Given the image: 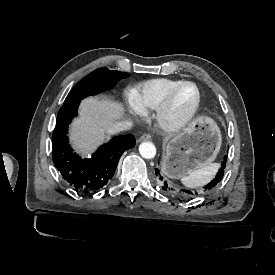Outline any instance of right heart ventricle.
<instances>
[{
	"label": "right heart ventricle",
	"instance_id": "obj_1",
	"mask_svg": "<svg viewBox=\"0 0 275 275\" xmlns=\"http://www.w3.org/2000/svg\"><path fill=\"white\" fill-rule=\"evenodd\" d=\"M178 81L160 78L145 82L132 95V103L141 112L155 111Z\"/></svg>",
	"mask_w": 275,
	"mask_h": 275
}]
</instances>
